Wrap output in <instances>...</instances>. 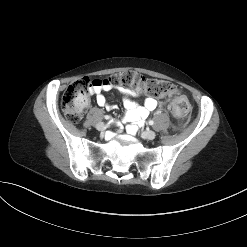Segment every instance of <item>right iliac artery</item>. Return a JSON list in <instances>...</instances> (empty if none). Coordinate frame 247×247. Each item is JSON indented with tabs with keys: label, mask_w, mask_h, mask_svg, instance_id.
Masks as SVG:
<instances>
[{
	"label": "right iliac artery",
	"mask_w": 247,
	"mask_h": 247,
	"mask_svg": "<svg viewBox=\"0 0 247 247\" xmlns=\"http://www.w3.org/2000/svg\"><path fill=\"white\" fill-rule=\"evenodd\" d=\"M109 118H111V117H110V116H108V115H106V116H105V119H107V120H108Z\"/></svg>",
	"instance_id": "82829eb1"
}]
</instances>
